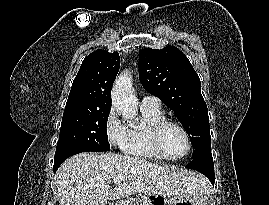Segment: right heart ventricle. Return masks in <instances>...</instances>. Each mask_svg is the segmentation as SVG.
<instances>
[{"label": "right heart ventricle", "instance_id": "e07e8e85", "mask_svg": "<svg viewBox=\"0 0 269 205\" xmlns=\"http://www.w3.org/2000/svg\"><path fill=\"white\" fill-rule=\"evenodd\" d=\"M141 110L146 127L130 130L129 141L123 151L133 158L159 160L161 158L155 154L149 143L148 131L153 124L164 119L165 116L160 109L141 108Z\"/></svg>", "mask_w": 269, "mask_h": 205}]
</instances>
